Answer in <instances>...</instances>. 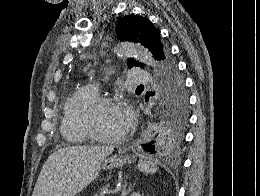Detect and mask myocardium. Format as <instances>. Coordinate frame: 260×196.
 I'll return each instance as SVG.
<instances>
[{"mask_svg":"<svg viewBox=\"0 0 260 196\" xmlns=\"http://www.w3.org/2000/svg\"><path fill=\"white\" fill-rule=\"evenodd\" d=\"M124 102L118 97L103 96L97 97L93 102L89 104L86 109V114L83 120L80 121V127L85 130L92 138L103 141V142H120L125 139L130 131V126L127 125L126 128L117 135H110L98 131L94 126V119L96 113L104 106L112 104H123Z\"/></svg>","mask_w":260,"mask_h":196,"instance_id":"f54148a6","label":"myocardium"}]
</instances>
